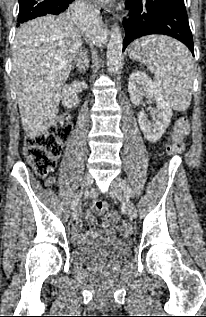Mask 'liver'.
Instances as JSON below:
<instances>
[{"instance_id": "liver-1", "label": "liver", "mask_w": 206, "mask_h": 317, "mask_svg": "<svg viewBox=\"0 0 206 317\" xmlns=\"http://www.w3.org/2000/svg\"><path fill=\"white\" fill-rule=\"evenodd\" d=\"M81 44L80 32L68 15L39 17L18 29L12 79L28 137L41 135L56 119L61 89Z\"/></svg>"}]
</instances>
